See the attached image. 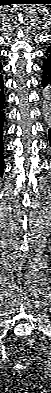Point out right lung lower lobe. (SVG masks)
Returning a JSON list of instances; mask_svg holds the SVG:
<instances>
[{"instance_id":"obj_1","label":"right lung lower lobe","mask_w":51,"mask_h":393,"mask_svg":"<svg viewBox=\"0 0 51 393\" xmlns=\"http://www.w3.org/2000/svg\"><path fill=\"white\" fill-rule=\"evenodd\" d=\"M3 80L0 74V173L4 171V160H3V135L5 131V97L3 90Z\"/></svg>"}]
</instances>
